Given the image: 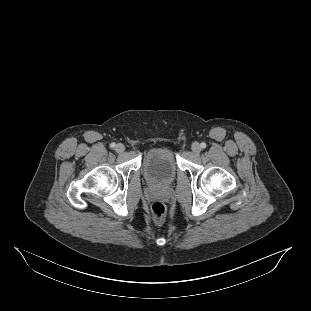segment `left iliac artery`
Returning a JSON list of instances; mask_svg holds the SVG:
<instances>
[{"mask_svg": "<svg viewBox=\"0 0 311 311\" xmlns=\"http://www.w3.org/2000/svg\"><path fill=\"white\" fill-rule=\"evenodd\" d=\"M200 147H201L202 149L206 148V143L202 142V143L200 144Z\"/></svg>", "mask_w": 311, "mask_h": 311, "instance_id": "obj_1", "label": "left iliac artery"}]
</instances>
